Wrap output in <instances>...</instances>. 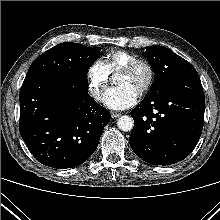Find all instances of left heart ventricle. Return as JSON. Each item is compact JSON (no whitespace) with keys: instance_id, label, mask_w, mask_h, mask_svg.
Segmentation results:
<instances>
[{"instance_id":"obj_1","label":"left heart ventricle","mask_w":220,"mask_h":220,"mask_svg":"<svg viewBox=\"0 0 220 220\" xmlns=\"http://www.w3.org/2000/svg\"><path fill=\"white\" fill-rule=\"evenodd\" d=\"M147 79V70L144 67H139L133 73H120L117 84L118 85H129L135 91L139 92Z\"/></svg>"}]
</instances>
